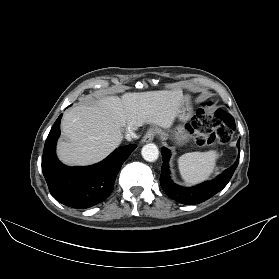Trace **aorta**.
<instances>
[{"label": "aorta", "instance_id": "obj_1", "mask_svg": "<svg viewBox=\"0 0 279 279\" xmlns=\"http://www.w3.org/2000/svg\"><path fill=\"white\" fill-rule=\"evenodd\" d=\"M141 154L144 160L148 162H154L158 159L159 150L155 144L149 143L143 146Z\"/></svg>", "mask_w": 279, "mask_h": 279}]
</instances>
